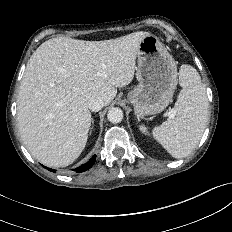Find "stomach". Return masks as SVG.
I'll list each match as a JSON object with an SVG mask.
<instances>
[{"label":"stomach","mask_w":232,"mask_h":232,"mask_svg":"<svg viewBox=\"0 0 232 232\" xmlns=\"http://www.w3.org/2000/svg\"><path fill=\"white\" fill-rule=\"evenodd\" d=\"M177 76V64L159 38H143L137 54L138 85L127 95L135 115L144 117L163 111L172 101Z\"/></svg>","instance_id":"obj_1"}]
</instances>
